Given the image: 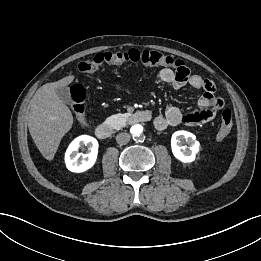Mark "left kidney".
Segmentation results:
<instances>
[{
  "label": "left kidney",
  "mask_w": 261,
  "mask_h": 261,
  "mask_svg": "<svg viewBox=\"0 0 261 261\" xmlns=\"http://www.w3.org/2000/svg\"><path fill=\"white\" fill-rule=\"evenodd\" d=\"M186 141L189 147L182 146V142ZM200 143L196 140V136L187 131H176L171 138L172 153L183 163L193 162L200 150Z\"/></svg>",
  "instance_id": "5707ae66"
}]
</instances>
